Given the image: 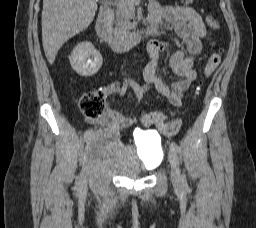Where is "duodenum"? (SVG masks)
Here are the masks:
<instances>
[{"label":"duodenum","mask_w":256,"mask_h":228,"mask_svg":"<svg viewBox=\"0 0 256 228\" xmlns=\"http://www.w3.org/2000/svg\"><path fill=\"white\" fill-rule=\"evenodd\" d=\"M106 2L100 10L97 22V35L104 41L111 49L115 51H125L131 47L139 44L146 35L152 31L137 30L127 33H117L111 27V2Z\"/></svg>","instance_id":"duodenum-1"}]
</instances>
